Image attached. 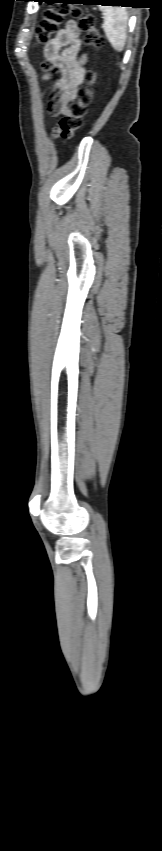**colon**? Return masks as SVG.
Returning a JSON list of instances; mask_svg holds the SVG:
<instances>
[{
  "label": "colon",
  "instance_id": "colon-1",
  "mask_svg": "<svg viewBox=\"0 0 162 851\" xmlns=\"http://www.w3.org/2000/svg\"><path fill=\"white\" fill-rule=\"evenodd\" d=\"M68 14L78 20L80 29L85 33L87 46L97 49L104 45V38L96 27L95 17L85 14L80 8H70L64 4H57L44 11L43 19L36 29V43L39 45L48 43ZM95 78L94 72L87 74L85 86L78 91L77 99L70 103L68 112L60 118L55 131L62 139H72L81 128L87 108L92 102V85Z\"/></svg>",
  "mask_w": 162,
  "mask_h": 851
}]
</instances>
